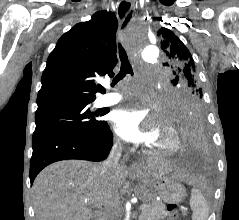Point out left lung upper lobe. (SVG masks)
<instances>
[{
  "instance_id": "1",
  "label": "left lung upper lobe",
  "mask_w": 239,
  "mask_h": 220,
  "mask_svg": "<svg viewBox=\"0 0 239 220\" xmlns=\"http://www.w3.org/2000/svg\"><path fill=\"white\" fill-rule=\"evenodd\" d=\"M157 35L167 59L169 70L167 110L171 117L185 108L203 107L202 89L194 60L180 39L169 29L161 28Z\"/></svg>"
}]
</instances>
